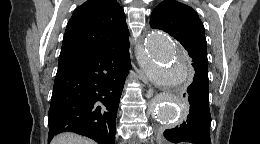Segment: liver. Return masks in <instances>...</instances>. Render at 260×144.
Returning <instances> with one entry per match:
<instances>
[{
	"label": "liver",
	"mask_w": 260,
	"mask_h": 144,
	"mask_svg": "<svg viewBox=\"0 0 260 144\" xmlns=\"http://www.w3.org/2000/svg\"><path fill=\"white\" fill-rule=\"evenodd\" d=\"M51 144H95L93 141L76 135L74 133H64L56 136Z\"/></svg>",
	"instance_id": "6515ba94"
}]
</instances>
